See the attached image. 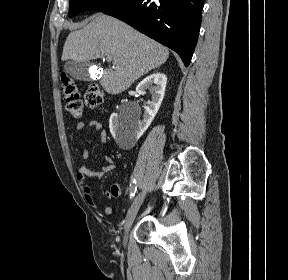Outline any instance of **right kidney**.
Instances as JSON below:
<instances>
[{
	"instance_id": "ca27d5eb",
	"label": "right kidney",
	"mask_w": 288,
	"mask_h": 280,
	"mask_svg": "<svg viewBox=\"0 0 288 280\" xmlns=\"http://www.w3.org/2000/svg\"><path fill=\"white\" fill-rule=\"evenodd\" d=\"M166 84V75L153 73L137 85L136 92L139 95H143L147 89L152 92V99L145 107L142 120L133 119L126 126L120 116L114 114L110 117V132L121 148H131L150 126L164 98Z\"/></svg>"
}]
</instances>
